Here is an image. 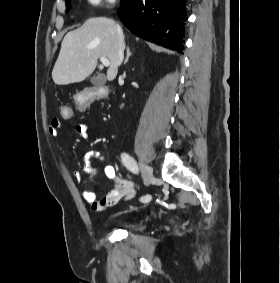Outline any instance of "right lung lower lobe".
<instances>
[{
	"mask_svg": "<svg viewBox=\"0 0 280 283\" xmlns=\"http://www.w3.org/2000/svg\"><path fill=\"white\" fill-rule=\"evenodd\" d=\"M187 0H124L118 16L135 35L171 50L184 49Z\"/></svg>",
	"mask_w": 280,
	"mask_h": 283,
	"instance_id": "98d812e1",
	"label": "right lung lower lobe"
}]
</instances>
